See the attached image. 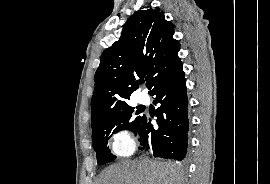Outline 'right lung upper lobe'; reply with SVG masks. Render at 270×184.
Wrapping results in <instances>:
<instances>
[{
	"instance_id": "1",
	"label": "right lung upper lobe",
	"mask_w": 270,
	"mask_h": 184,
	"mask_svg": "<svg viewBox=\"0 0 270 184\" xmlns=\"http://www.w3.org/2000/svg\"><path fill=\"white\" fill-rule=\"evenodd\" d=\"M174 25L159 9L136 11L125 23L120 39L104 50L95 73L91 99L92 124L125 105L147 76L148 89L167 74L180 58Z\"/></svg>"
}]
</instances>
